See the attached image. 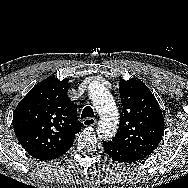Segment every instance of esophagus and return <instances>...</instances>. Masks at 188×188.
<instances>
[{"label":"esophagus","mask_w":188,"mask_h":188,"mask_svg":"<svg viewBox=\"0 0 188 188\" xmlns=\"http://www.w3.org/2000/svg\"><path fill=\"white\" fill-rule=\"evenodd\" d=\"M97 124V120L95 118H86L83 120L84 126H95Z\"/></svg>","instance_id":"34e87169"}]
</instances>
